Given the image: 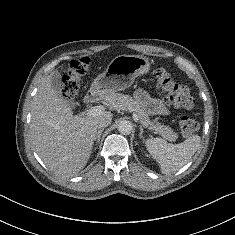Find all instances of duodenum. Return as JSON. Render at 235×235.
<instances>
[{"label":"duodenum","mask_w":235,"mask_h":235,"mask_svg":"<svg viewBox=\"0 0 235 235\" xmlns=\"http://www.w3.org/2000/svg\"><path fill=\"white\" fill-rule=\"evenodd\" d=\"M98 95L95 91H90L84 98L86 104H92L97 101Z\"/></svg>","instance_id":"obj_1"}]
</instances>
